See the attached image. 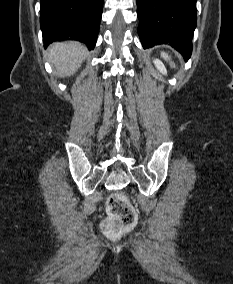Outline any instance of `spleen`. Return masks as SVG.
Returning <instances> with one entry per match:
<instances>
[{
  "mask_svg": "<svg viewBox=\"0 0 233 284\" xmlns=\"http://www.w3.org/2000/svg\"><path fill=\"white\" fill-rule=\"evenodd\" d=\"M162 56H164L165 58L169 59V56L166 53H162Z\"/></svg>",
  "mask_w": 233,
  "mask_h": 284,
  "instance_id": "obj_1",
  "label": "spleen"
}]
</instances>
